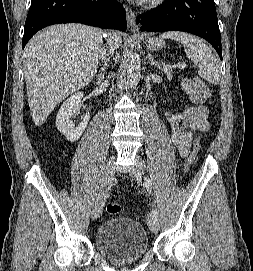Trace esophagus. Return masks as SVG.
Returning <instances> with one entry per match:
<instances>
[{
	"mask_svg": "<svg viewBox=\"0 0 253 271\" xmlns=\"http://www.w3.org/2000/svg\"><path fill=\"white\" fill-rule=\"evenodd\" d=\"M125 10H126L127 24H128L129 29L131 30V32L137 33L138 27L135 21V13L128 6H126Z\"/></svg>",
	"mask_w": 253,
	"mask_h": 271,
	"instance_id": "34e87169",
	"label": "esophagus"
}]
</instances>
